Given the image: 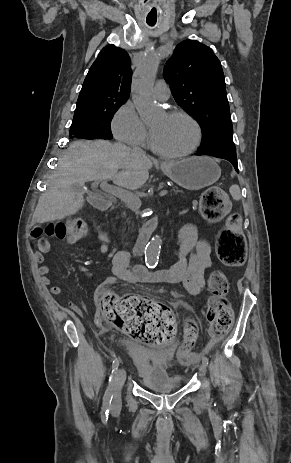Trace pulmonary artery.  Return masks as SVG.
<instances>
[{"label":"pulmonary artery","instance_id":"obj_1","mask_svg":"<svg viewBox=\"0 0 291 463\" xmlns=\"http://www.w3.org/2000/svg\"><path fill=\"white\" fill-rule=\"evenodd\" d=\"M154 96L160 101H166L170 96V89L164 80H158L154 86Z\"/></svg>","mask_w":291,"mask_h":463}]
</instances>
